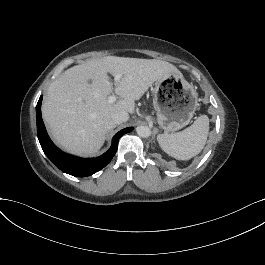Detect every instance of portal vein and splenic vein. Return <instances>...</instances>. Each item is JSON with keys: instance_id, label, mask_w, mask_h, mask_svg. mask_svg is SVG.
Masks as SVG:
<instances>
[{"instance_id": "1", "label": "portal vein and splenic vein", "mask_w": 265, "mask_h": 265, "mask_svg": "<svg viewBox=\"0 0 265 265\" xmlns=\"http://www.w3.org/2000/svg\"><path fill=\"white\" fill-rule=\"evenodd\" d=\"M119 78H120V76H115V77H114V81H115V82H118ZM108 82H109L110 84H113V81H112V80H110V81H108ZM108 100H109L110 103H114V102L117 101V96L112 95V96L109 97Z\"/></svg>"}]
</instances>
